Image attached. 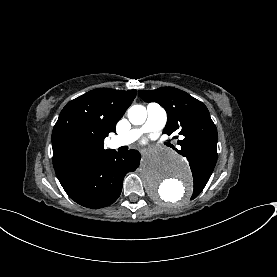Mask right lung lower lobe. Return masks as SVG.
Here are the masks:
<instances>
[{
	"instance_id": "1",
	"label": "right lung lower lobe",
	"mask_w": 277,
	"mask_h": 277,
	"mask_svg": "<svg viewBox=\"0 0 277 277\" xmlns=\"http://www.w3.org/2000/svg\"><path fill=\"white\" fill-rule=\"evenodd\" d=\"M140 154L111 150L72 169L59 181L65 192L87 208H101L115 202L122 191L124 176L139 166Z\"/></svg>"
}]
</instances>
